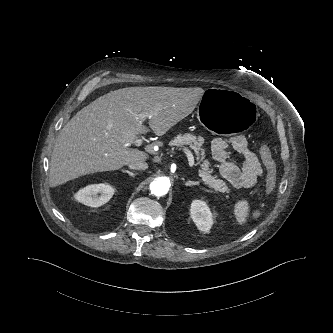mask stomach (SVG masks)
Listing matches in <instances>:
<instances>
[{
    "label": "stomach",
    "mask_w": 333,
    "mask_h": 333,
    "mask_svg": "<svg viewBox=\"0 0 333 333\" xmlns=\"http://www.w3.org/2000/svg\"><path fill=\"white\" fill-rule=\"evenodd\" d=\"M257 109L250 97L231 90H208L197 103L200 123L219 135H232L250 128Z\"/></svg>",
    "instance_id": "obj_1"
}]
</instances>
